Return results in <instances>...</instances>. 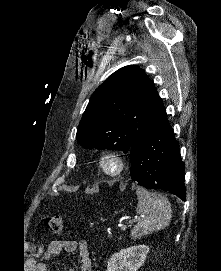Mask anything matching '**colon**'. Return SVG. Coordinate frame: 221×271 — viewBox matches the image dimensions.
Returning a JSON list of instances; mask_svg holds the SVG:
<instances>
[{
  "instance_id": "5ec220e1",
  "label": "colon",
  "mask_w": 221,
  "mask_h": 271,
  "mask_svg": "<svg viewBox=\"0 0 221 271\" xmlns=\"http://www.w3.org/2000/svg\"><path fill=\"white\" fill-rule=\"evenodd\" d=\"M43 226L54 235L62 232V219L59 215H47L43 220Z\"/></svg>"
}]
</instances>
